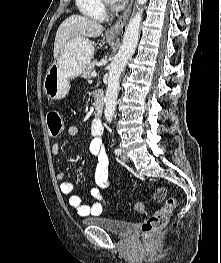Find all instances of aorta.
I'll use <instances>...</instances> for the list:
<instances>
[{
    "label": "aorta",
    "mask_w": 221,
    "mask_h": 263,
    "mask_svg": "<svg viewBox=\"0 0 221 263\" xmlns=\"http://www.w3.org/2000/svg\"><path fill=\"white\" fill-rule=\"evenodd\" d=\"M147 0H136L137 10L132 14L120 49L110 65L106 94L104 98L105 110L104 116L107 122H111L114 117L116 100L118 95L119 81L128 60L134 54L135 48L139 41L140 24L142 21L143 8Z\"/></svg>",
    "instance_id": "obj_1"
}]
</instances>
